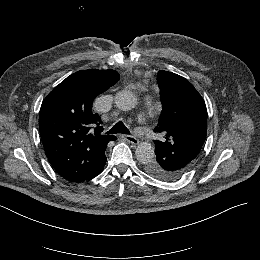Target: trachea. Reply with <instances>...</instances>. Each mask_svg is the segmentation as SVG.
<instances>
[{
    "instance_id": "trachea-1",
    "label": "trachea",
    "mask_w": 260,
    "mask_h": 260,
    "mask_svg": "<svg viewBox=\"0 0 260 260\" xmlns=\"http://www.w3.org/2000/svg\"><path fill=\"white\" fill-rule=\"evenodd\" d=\"M129 134L128 128L124 125L122 121H119L116 123L109 131L106 132V134Z\"/></svg>"
}]
</instances>
